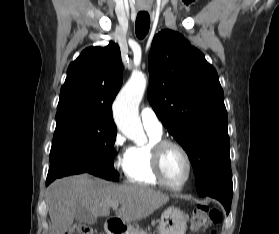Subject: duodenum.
Returning a JSON list of instances; mask_svg holds the SVG:
<instances>
[{
  "label": "duodenum",
  "instance_id": "duodenum-1",
  "mask_svg": "<svg viewBox=\"0 0 279 234\" xmlns=\"http://www.w3.org/2000/svg\"><path fill=\"white\" fill-rule=\"evenodd\" d=\"M106 230L109 234H123V225L119 220L111 218L106 223Z\"/></svg>",
  "mask_w": 279,
  "mask_h": 234
}]
</instances>
